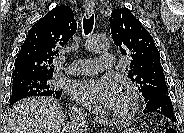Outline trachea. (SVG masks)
<instances>
[{"label": "trachea", "mask_w": 184, "mask_h": 133, "mask_svg": "<svg viewBox=\"0 0 184 133\" xmlns=\"http://www.w3.org/2000/svg\"><path fill=\"white\" fill-rule=\"evenodd\" d=\"M94 25V15L92 14L90 17H84L83 19V29H84V34L88 35L91 33Z\"/></svg>", "instance_id": "trachea-1"}]
</instances>
